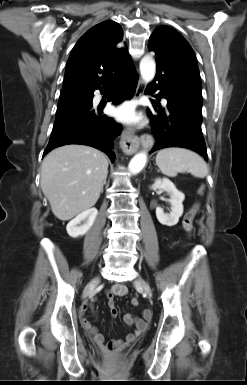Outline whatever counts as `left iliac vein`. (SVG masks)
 Returning <instances> with one entry per match:
<instances>
[{
  "instance_id": "4c4485c4",
  "label": "left iliac vein",
  "mask_w": 247,
  "mask_h": 385,
  "mask_svg": "<svg viewBox=\"0 0 247 385\" xmlns=\"http://www.w3.org/2000/svg\"><path fill=\"white\" fill-rule=\"evenodd\" d=\"M135 285L141 288L148 296H151V288L149 284L140 276L135 280Z\"/></svg>"
}]
</instances>
